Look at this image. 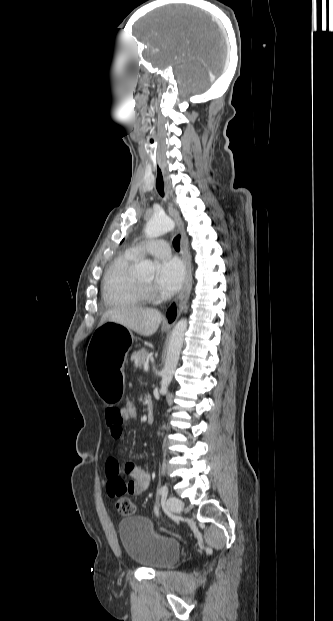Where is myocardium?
I'll use <instances>...</instances> for the list:
<instances>
[{
    "label": "myocardium",
    "instance_id": "1",
    "mask_svg": "<svg viewBox=\"0 0 333 621\" xmlns=\"http://www.w3.org/2000/svg\"><path fill=\"white\" fill-rule=\"evenodd\" d=\"M141 286L149 297L155 296V291L151 285H146L144 283H141Z\"/></svg>",
    "mask_w": 333,
    "mask_h": 621
}]
</instances>
